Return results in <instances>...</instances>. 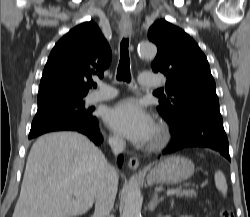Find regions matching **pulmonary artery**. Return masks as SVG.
Wrapping results in <instances>:
<instances>
[{"label":"pulmonary artery","mask_w":250,"mask_h":217,"mask_svg":"<svg viewBox=\"0 0 250 217\" xmlns=\"http://www.w3.org/2000/svg\"><path fill=\"white\" fill-rule=\"evenodd\" d=\"M138 82L142 87L145 88H156L161 85V82L158 79L154 78L153 74L151 73H142L139 76ZM116 95L117 91L113 87L105 83H100L99 90L91 93L88 96V102L97 103V102L107 101L116 97Z\"/></svg>","instance_id":"pulmonary-artery-1"}]
</instances>
